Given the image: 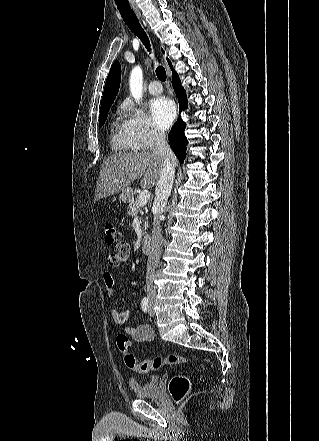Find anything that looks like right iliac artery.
Segmentation results:
<instances>
[{"label": "right iliac artery", "mask_w": 319, "mask_h": 441, "mask_svg": "<svg viewBox=\"0 0 319 441\" xmlns=\"http://www.w3.org/2000/svg\"><path fill=\"white\" fill-rule=\"evenodd\" d=\"M141 308L144 312H147L148 308H149V300L148 298L144 297L142 302H141Z\"/></svg>", "instance_id": "right-iliac-artery-1"}]
</instances>
